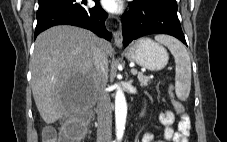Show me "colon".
<instances>
[{
	"mask_svg": "<svg viewBox=\"0 0 227 142\" xmlns=\"http://www.w3.org/2000/svg\"><path fill=\"white\" fill-rule=\"evenodd\" d=\"M173 102L177 113H184L182 105L176 100ZM86 122L87 118L80 116L59 131L53 127H45L42 132V142H80Z\"/></svg>",
	"mask_w": 227,
	"mask_h": 142,
	"instance_id": "5ec220e1",
	"label": "colon"
}]
</instances>
